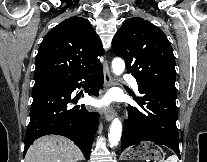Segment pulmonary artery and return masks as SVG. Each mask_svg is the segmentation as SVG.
I'll return each mask as SVG.
<instances>
[{
  "label": "pulmonary artery",
  "instance_id": "e3ab8cb5",
  "mask_svg": "<svg viewBox=\"0 0 207 162\" xmlns=\"http://www.w3.org/2000/svg\"><path fill=\"white\" fill-rule=\"evenodd\" d=\"M126 81L133 88V90L138 92L139 86H138L136 80L131 75L126 76Z\"/></svg>",
  "mask_w": 207,
  "mask_h": 162
}]
</instances>
